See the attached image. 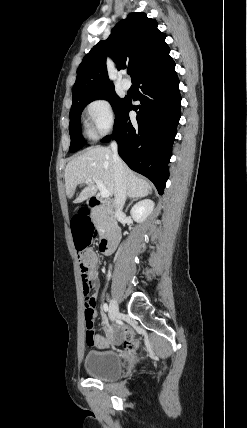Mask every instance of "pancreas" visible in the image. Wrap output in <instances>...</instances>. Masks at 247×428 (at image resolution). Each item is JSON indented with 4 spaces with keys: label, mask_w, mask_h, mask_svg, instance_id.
I'll use <instances>...</instances> for the list:
<instances>
[{
    "label": "pancreas",
    "mask_w": 247,
    "mask_h": 428,
    "mask_svg": "<svg viewBox=\"0 0 247 428\" xmlns=\"http://www.w3.org/2000/svg\"><path fill=\"white\" fill-rule=\"evenodd\" d=\"M93 220L100 232L106 231L111 224V218L101 209L94 212Z\"/></svg>",
    "instance_id": "pancreas-1"
}]
</instances>
